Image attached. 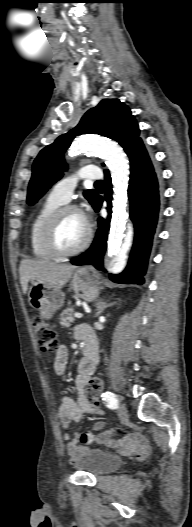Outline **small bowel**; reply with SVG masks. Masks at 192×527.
<instances>
[{"label": "small bowel", "mask_w": 192, "mask_h": 527, "mask_svg": "<svg viewBox=\"0 0 192 527\" xmlns=\"http://www.w3.org/2000/svg\"><path fill=\"white\" fill-rule=\"evenodd\" d=\"M76 337L85 343V349H90L93 353V362H88L84 357L79 363V372L75 379L78 390V398L75 400L70 396H63L58 407V417L64 429L63 439L68 441L67 452L71 462H75L77 457L87 450V445L93 443H102L110 447H118L127 453L128 460L133 461L138 456V461L143 463L150 453V446L146 440L138 434H130L119 440L114 439V435L120 434V427L112 426L109 431H102L105 423L102 421L94 424L95 431H82L81 434L76 432L74 437L68 431L71 423H78L84 414H101L102 411L95 407L88 399V390L95 379L91 375L95 370L98 359L97 343L91 329L87 326H81L77 329ZM84 349V350H85ZM68 361V351L64 345L58 347L54 360V370L58 375H63L66 371ZM102 431V432H100ZM81 441L84 445H79Z\"/></svg>", "instance_id": "1"}]
</instances>
